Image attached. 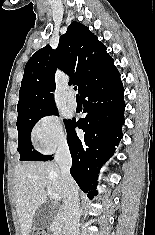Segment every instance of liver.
Returning a JSON list of instances; mask_svg holds the SVG:
<instances>
[{
  "label": "liver",
  "instance_id": "6515ba94",
  "mask_svg": "<svg viewBox=\"0 0 155 235\" xmlns=\"http://www.w3.org/2000/svg\"><path fill=\"white\" fill-rule=\"evenodd\" d=\"M59 194L64 201L60 167L54 162L19 163L14 171L16 211L22 235H28L39 207L47 200V191ZM60 213L64 216L63 205Z\"/></svg>",
  "mask_w": 155,
  "mask_h": 235
}]
</instances>
